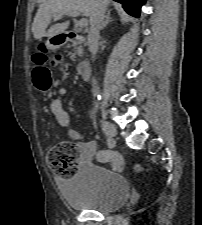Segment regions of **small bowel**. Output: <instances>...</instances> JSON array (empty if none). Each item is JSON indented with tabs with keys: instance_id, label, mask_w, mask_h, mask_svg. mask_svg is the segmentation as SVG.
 I'll list each match as a JSON object with an SVG mask.
<instances>
[{
	"instance_id": "small-bowel-1",
	"label": "small bowel",
	"mask_w": 202,
	"mask_h": 225,
	"mask_svg": "<svg viewBox=\"0 0 202 225\" xmlns=\"http://www.w3.org/2000/svg\"><path fill=\"white\" fill-rule=\"evenodd\" d=\"M33 63H36V57L31 58ZM66 89L61 87L57 95L50 101L49 107L54 115L59 126L69 131L70 137L78 143L80 148L79 161L80 163H87L93 160L98 162L104 161V154L96 151V143L93 140L84 139L78 131L71 126L69 113L63 108L62 96Z\"/></svg>"
}]
</instances>
